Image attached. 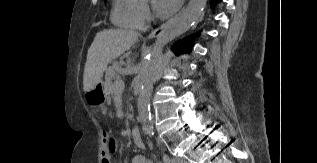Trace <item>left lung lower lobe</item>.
I'll return each instance as SVG.
<instances>
[{
    "label": "left lung lower lobe",
    "mask_w": 317,
    "mask_h": 163,
    "mask_svg": "<svg viewBox=\"0 0 317 163\" xmlns=\"http://www.w3.org/2000/svg\"><path fill=\"white\" fill-rule=\"evenodd\" d=\"M221 0H211L210 3L211 5H215ZM193 45L192 40H189L187 38L178 41L173 47L172 50L177 54H181L183 52H189L191 50V47Z\"/></svg>",
    "instance_id": "1"
}]
</instances>
